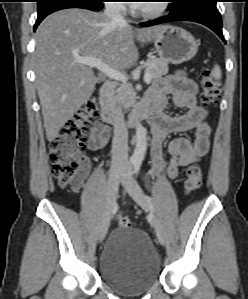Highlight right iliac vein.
Returning <instances> with one entry per match:
<instances>
[{"label": "right iliac vein", "instance_id": "right-iliac-vein-1", "mask_svg": "<svg viewBox=\"0 0 248 299\" xmlns=\"http://www.w3.org/2000/svg\"><path fill=\"white\" fill-rule=\"evenodd\" d=\"M122 167L119 165H113L110 169L109 180H108V191H107V203L104 216L102 219L99 241H103L105 238L112 216V211L115 207L118 193V183L121 178Z\"/></svg>", "mask_w": 248, "mask_h": 299}]
</instances>
